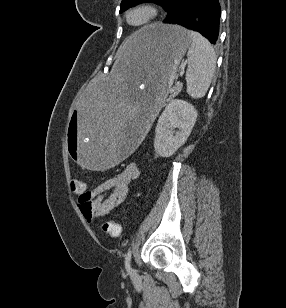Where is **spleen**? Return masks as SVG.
<instances>
[{
	"instance_id": "obj_1",
	"label": "spleen",
	"mask_w": 286,
	"mask_h": 308,
	"mask_svg": "<svg viewBox=\"0 0 286 308\" xmlns=\"http://www.w3.org/2000/svg\"><path fill=\"white\" fill-rule=\"evenodd\" d=\"M188 32L192 43L187 53V93L198 99L204 97L208 91L215 72L216 54L205 37L194 31Z\"/></svg>"
}]
</instances>
